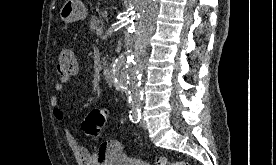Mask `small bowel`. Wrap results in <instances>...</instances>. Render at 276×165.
Wrapping results in <instances>:
<instances>
[{
    "instance_id": "1",
    "label": "small bowel",
    "mask_w": 276,
    "mask_h": 165,
    "mask_svg": "<svg viewBox=\"0 0 276 165\" xmlns=\"http://www.w3.org/2000/svg\"><path fill=\"white\" fill-rule=\"evenodd\" d=\"M70 78L61 77L60 82L54 84V90L60 92L64 89V85L68 83ZM51 105L53 108L54 117L58 122L63 125L64 133L71 148L75 160L78 165H108L112 159L120 152V144L113 141L118 145V149L111 152L100 153L99 150L91 153L87 148L83 147L75 138L69 127L65 123V114L61 107L60 100L57 95L51 96Z\"/></svg>"
}]
</instances>
